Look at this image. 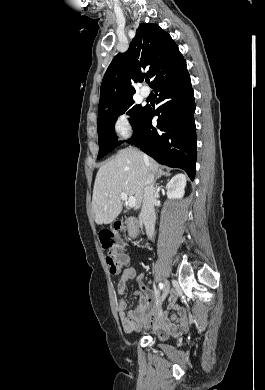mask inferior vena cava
Instances as JSON below:
<instances>
[{"instance_id": "1", "label": "inferior vena cava", "mask_w": 265, "mask_h": 390, "mask_svg": "<svg viewBox=\"0 0 265 390\" xmlns=\"http://www.w3.org/2000/svg\"><path fill=\"white\" fill-rule=\"evenodd\" d=\"M155 193H156V189L154 187V176L153 174H149L144 188L142 208L140 213V217L143 221L146 234L149 239L153 238L154 231H155V222H156V215L154 209Z\"/></svg>"}]
</instances>
